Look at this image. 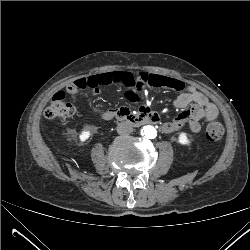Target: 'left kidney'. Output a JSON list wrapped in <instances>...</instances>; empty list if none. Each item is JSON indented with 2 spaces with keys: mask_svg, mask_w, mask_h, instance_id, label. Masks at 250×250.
I'll list each match as a JSON object with an SVG mask.
<instances>
[{
  "mask_svg": "<svg viewBox=\"0 0 250 250\" xmlns=\"http://www.w3.org/2000/svg\"><path fill=\"white\" fill-rule=\"evenodd\" d=\"M178 143L181 145H189L191 143L190 139L188 138L187 133L181 132L178 136Z\"/></svg>",
  "mask_w": 250,
  "mask_h": 250,
  "instance_id": "5707ae66",
  "label": "left kidney"
}]
</instances>
